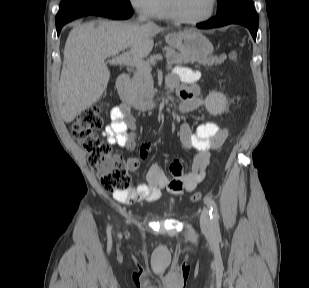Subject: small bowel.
<instances>
[{
	"mask_svg": "<svg viewBox=\"0 0 309 288\" xmlns=\"http://www.w3.org/2000/svg\"><path fill=\"white\" fill-rule=\"evenodd\" d=\"M182 76L183 80H181ZM195 74L181 69L179 73L171 74L167 78V87L176 89L181 98L179 112L187 114L201 108L204 104L200 89L197 85L189 83ZM102 135L112 145L127 150L136 147V125L131 110L127 105L119 104L111 110V121L104 128ZM228 136V129L219 127L214 122H204L192 130L187 123L179 129L182 145L193 151V159L188 169H185L180 160L170 163L169 178L158 165H152L147 172V182L137 184L126 193H114L113 198L123 204H131L140 200L155 201L160 198L162 190L168 188L172 194L192 192L204 179L209 163L210 153L218 150ZM150 145H144L139 156H129L126 167L130 171L138 168L142 159H145Z\"/></svg>",
	"mask_w": 309,
	"mask_h": 288,
	"instance_id": "obj_1",
	"label": "small bowel"
}]
</instances>
